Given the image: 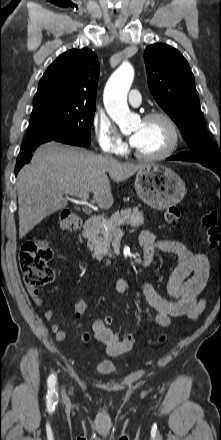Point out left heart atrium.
I'll list each match as a JSON object with an SVG mask.
<instances>
[{
  "label": "left heart atrium",
  "mask_w": 221,
  "mask_h": 440,
  "mask_svg": "<svg viewBox=\"0 0 221 440\" xmlns=\"http://www.w3.org/2000/svg\"><path fill=\"white\" fill-rule=\"evenodd\" d=\"M140 136H141V131H137L132 134V136L130 137V142L133 146L136 147L138 145Z\"/></svg>",
  "instance_id": "39dd6f15"
}]
</instances>
